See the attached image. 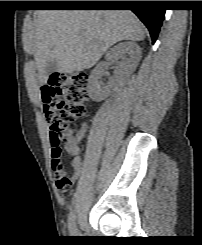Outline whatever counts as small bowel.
Masks as SVG:
<instances>
[{
	"label": "small bowel",
	"instance_id": "1",
	"mask_svg": "<svg viewBox=\"0 0 202 245\" xmlns=\"http://www.w3.org/2000/svg\"><path fill=\"white\" fill-rule=\"evenodd\" d=\"M39 96L45 107L50 112H55L56 90L52 85H42ZM80 136L78 133H71L67 136L63 146L59 148L51 147V169L55 179L56 189L59 192L68 191L83 171V164L79 148ZM63 152L73 157L72 166L73 173L69 175L66 171L65 162L63 160Z\"/></svg>",
	"mask_w": 202,
	"mask_h": 245
}]
</instances>
